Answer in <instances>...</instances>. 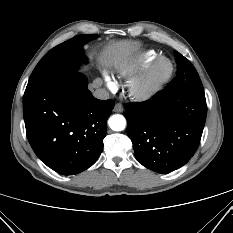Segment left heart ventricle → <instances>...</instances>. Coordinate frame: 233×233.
<instances>
[{
	"mask_svg": "<svg viewBox=\"0 0 233 233\" xmlns=\"http://www.w3.org/2000/svg\"><path fill=\"white\" fill-rule=\"evenodd\" d=\"M167 68H168L167 63H163V64L161 65V72H165V71L167 70Z\"/></svg>",
	"mask_w": 233,
	"mask_h": 233,
	"instance_id": "1",
	"label": "left heart ventricle"
}]
</instances>
